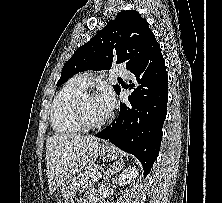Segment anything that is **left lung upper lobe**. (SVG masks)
I'll list each match as a JSON object with an SVG mask.
<instances>
[{
  "label": "left lung upper lobe",
  "instance_id": "left-lung-upper-lobe-1",
  "mask_svg": "<svg viewBox=\"0 0 222 203\" xmlns=\"http://www.w3.org/2000/svg\"><path fill=\"white\" fill-rule=\"evenodd\" d=\"M151 30L136 10L121 11L89 42L79 47L65 63L60 86L76 73L86 70H106L112 64H124L131 69L141 57ZM120 92V86H113Z\"/></svg>",
  "mask_w": 222,
  "mask_h": 203
}]
</instances>
